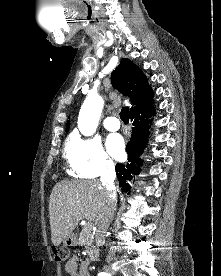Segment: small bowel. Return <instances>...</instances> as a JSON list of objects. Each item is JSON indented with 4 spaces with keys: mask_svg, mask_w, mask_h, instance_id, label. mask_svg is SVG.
<instances>
[{
    "mask_svg": "<svg viewBox=\"0 0 221 276\" xmlns=\"http://www.w3.org/2000/svg\"><path fill=\"white\" fill-rule=\"evenodd\" d=\"M89 262H79L77 256H72L64 265L65 271L69 276H89L88 274Z\"/></svg>",
    "mask_w": 221,
    "mask_h": 276,
    "instance_id": "1",
    "label": "small bowel"
}]
</instances>
